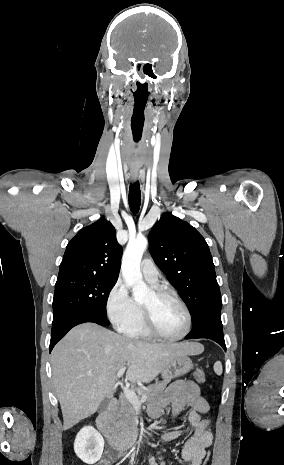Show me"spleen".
Segmentation results:
<instances>
[{"mask_svg": "<svg viewBox=\"0 0 284 465\" xmlns=\"http://www.w3.org/2000/svg\"><path fill=\"white\" fill-rule=\"evenodd\" d=\"M214 373H216V375H222L223 373V367H222V363H220V361H216V363H214Z\"/></svg>", "mask_w": 284, "mask_h": 465, "instance_id": "1", "label": "spleen"}]
</instances>
